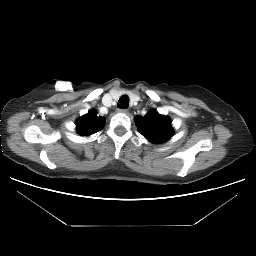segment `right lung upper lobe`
I'll list each match as a JSON object with an SVG mask.
<instances>
[{"label":"right lung upper lobe","mask_w":256,"mask_h":256,"mask_svg":"<svg viewBox=\"0 0 256 256\" xmlns=\"http://www.w3.org/2000/svg\"><path fill=\"white\" fill-rule=\"evenodd\" d=\"M105 124V119L97 116L96 111H91L77 121V130L83 136H89L100 131Z\"/></svg>","instance_id":"1"}]
</instances>
